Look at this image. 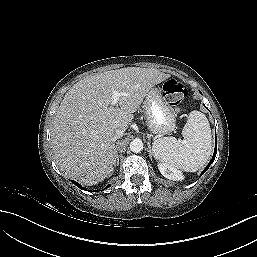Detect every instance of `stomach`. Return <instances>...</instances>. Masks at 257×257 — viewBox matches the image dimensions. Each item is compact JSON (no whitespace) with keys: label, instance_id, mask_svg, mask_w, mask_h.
<instances>
[{"label":"stomach","instance_id":"stomach-1","mask_svg":"<svg viewBox=\"0 0 257 257\" xmlns=\"http://www.w3.org/2000/svg\"><path fill=\"white\" fill-rule=\"evenodd\" d=\"M146 125L152 134L162 136L172 132L176 117L158 88H152L143 102Z\"/></svg>","mask_w":257,"mask_h":257}]
</instances>
